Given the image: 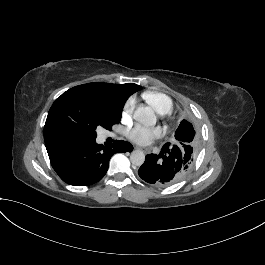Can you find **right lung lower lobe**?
I'll use <instances>...</instances> for the list:
<instances>
[{
    "instance_id": "right-lung-lower-lobe-1",
    "label": "right lung lower lobe",
    "mask_w": 265,
    "mask_h": 265,
    "mask_svg": "<svg viewBox=\"0 0 265 265\" xmlns=\"http://www.w3.org/2000/svg\"><path fill=\"white\" fill-rule=\"evenodd\" d=\"M132 150L133 146L126 141L116 140L110 148H104L92 140L70 145L49 158L64 182L74 186H88L103 178L113 154Z\"/></svg>"
}]
</instances>
